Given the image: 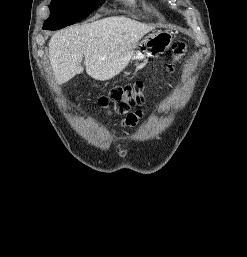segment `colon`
<instances>
[{"label":"colon","mask_w":247,"mask_h":257,"mask_svg":"<svg viewBox=\"0 0 247 257\" xmlns=\"http://www.w3.org/2000/svg\"><path fill=\"white\" fill-rule=\"evenodd\" d=\"M188 55V50L184 44L174 46L172 62L168 65L169 73L177 70L178 63ZM144 85L142 82H135L125 86L112 89L107 95L98 99V104L105 110H111L120 115H129L133 107L144 103Z\"/></svg>","instance_id":"colon-1"}]
</instances>
